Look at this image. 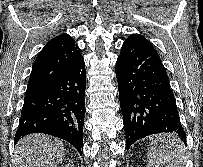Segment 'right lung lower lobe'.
<instances>
[{
  "instance_id": "obj_1",
  "label": "right lung lower lobe",
  "mask_w": 203,
  "mask_h": 167,
  "mask_svg": "<svg viewBox=\"0 0 203 167\" xmlns=\"http://www.w3.org/2000/svg\"><path fill=\"white\" fill-rule=\"evenodd\" d=\"M86 72L81 58L44 88L27 92L15 143L31 133H46L72 144L81 154Z\"/></svg>"
}]
</instances>
